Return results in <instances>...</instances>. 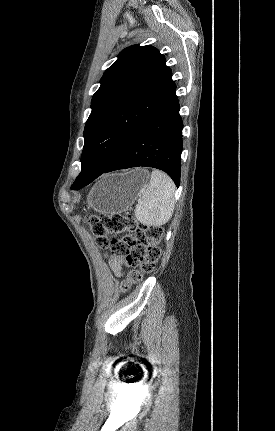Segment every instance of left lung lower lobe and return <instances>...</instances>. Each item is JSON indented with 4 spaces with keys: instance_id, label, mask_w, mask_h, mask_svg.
Instances as JSON below:
<instances>
[{
    "instance_id": "left-lung-lower-lobe-1",
    "label": "left lung lower lobe",
    "mask_w": 275,
    "mask_h": 431,
    "mask_svg": "<svg viewBox=\"0 0 275 431\" xmlns=\"http://www.w3.org/2000/svg\"><path fill=\"white\" fill-rule=\"evenodd\" d=\"M175 92L176 87L109 167L96 174L80 173L71 188L79 190L103 173L138 166L163 170L178 187L183 123Z\"/></svg>"
}]
</instances>
